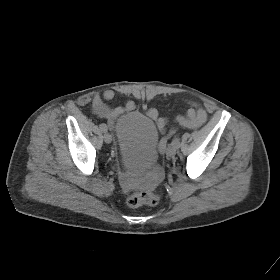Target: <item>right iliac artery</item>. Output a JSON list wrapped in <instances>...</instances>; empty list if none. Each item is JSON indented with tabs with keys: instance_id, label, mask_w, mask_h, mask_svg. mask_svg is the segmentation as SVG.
Returning a JSON list of instances; mask_svg holds the SVG:
<instances>
[{
	"instance_id": "82829eb1",
	"label": "right iliac artery",
	"mask_w": 280,
	"mask_h": 280,
	"mask_svg": "<svg viewBox=\"0 0 280 280\" xmlns=\"http://www.w3.org/2000/svg\"><path fill=\"white\" fill-rule=\"evenodd\" d=\"M99 127H100L101 131H103V132H106V131H107V126H106V124L102 123V124H100Z\"/></svg>"
}]
</instances>
